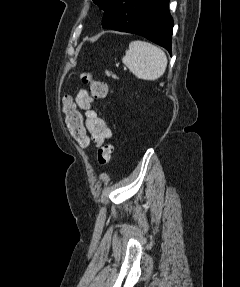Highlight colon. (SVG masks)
Masks as SVG:
<instances>
[{"label":"colon","mask_w":240,"mask_h":287,"mask_svg":"<svg viewBox=\"0 0 240 287\" xmlns=\"http://www.w3.org/2000/svg\"><path fill=\"white\" fill-rule=\"evenodd\" d=\"M83 83L88 84L93 97L105 99L108 96V87L104 82L94 80L88 72L81 74ZM63 112L66 117V124L71 136L83 148L89 146V136L85 129L82 114L76 109V106L70 97L63 100ZM114 147L112 144L102 145L97 152L98 163L105 167L110 163Z\"/></svg>","instance_id":"5ec220e1"}]
</instances>
